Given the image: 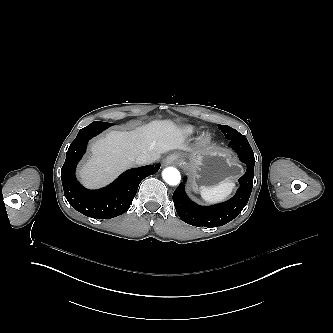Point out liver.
Here are the masks:
<instances>
[{
	"mask_svg": "<svg viewBox=\"0 0 333 333\" xmlns=\"http://www.w3.org/2000/svg\"><path fill=\"white\" fill-rule=\"evenodd\" d=\"M184 139L181 128L159 121L131 132H110L92 145L93 158L83 165L81 176L88 186L102 185L125 167L134 166L138 156L156 160L160 154L186 150Z\"/></svg>",
	"mask_w": 333,
	"mask_h": 333,
	"instance_id": "obj_1",
	"label": "liver"
}]
</instances>
